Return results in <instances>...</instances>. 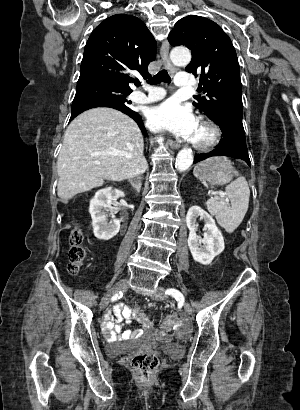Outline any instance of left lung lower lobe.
<instances>
[{
    "instance_id": "left-lung-lower-lobe-1",
    "label": "left lung lower lobe",
    "mask_w": 300,
    "mask_h": 410,
    "mask_svg": "<svg viewBox=\"0 0 300 410\" xmlns=\"http://www.w3.org/2000/svg\"><path fill=\"white\" fill-rule=\"evenodd\" d=\"M222 131L219 145L209 153L196 154L194 163L212 156H229L242 159L251 165L245 140L242 120L230 115H225L214 121Z\"/></svg>"
}]
</instances>
